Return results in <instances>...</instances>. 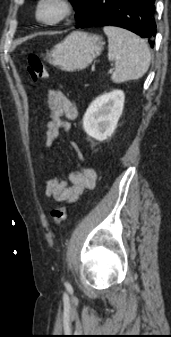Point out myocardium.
Returning <instances> with one entry per match:
<instances>
[{
    "label": "myocardium",
    "instance_id": "1",
    "mask_svg": "<svg viewBox=\"0 0 171 337\" xmlns=\"http://www.w3.org/2000/svg\"><path fill=\"white\" fill-rule=\"evenodd\" d=\"M54 4L58 7L59 13L52 19L41 16V11L45 5ZM75 10L73 0H38L35 5L34 15L36 20L45 26H56L64 22Z\"/></svg>",
    "mask_w": 171,
    "mask_h": 337
}]
</instances>
